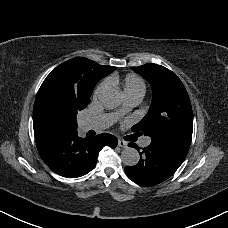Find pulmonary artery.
I'll return each mask as SVG.
<instances>
[{"mask_svg": "<svg viewBox=\"0 0 228 228\" xmlns=\"http://www.w3.org/2000/svg\"><path fill=\"white\" fill-rule=\"evenodd\" d=\"M129 106L134 107L139 104L141 101L140 95H130L126 98ZM88 123L90 124V127L92 129H99V130H105L108 128H111L113 126V119L111 117L105 116V117H92Z\"/></svg>", "mask_w": 228, "mask_h": 228, "instance_id": "1", "label": "pulmonary artery"}]
</instances>
